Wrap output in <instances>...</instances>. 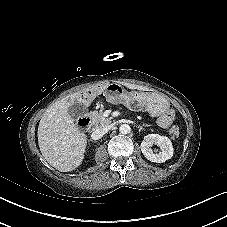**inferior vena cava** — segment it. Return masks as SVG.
<instances>
[{"label":"inferior vena cava","instance_id":"602c4592","mask_svg":"<svg viewBox=\"0 0 227 227\" xmlns=\"http://www.w3.org/2000/svg\"><path fill=\"white\" fill-rule=\"evenodd\" d=\"M109 129H110L109 126L96 129L91 135L92 139L99 140L100 138L103 137L104 134H106L109 131Z\"/></svg>","mask_w":227,"mask_h":227}]
</instances>
